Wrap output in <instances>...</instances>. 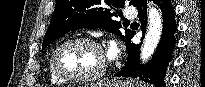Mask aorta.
Listing matches in <instances>:
<instances>
[{
  "label": "aorta",
  "mask_w": 205,
  "mask_h": 87,
  "mask_svg": "<svg viewBox=\"0 0 205 87\" xmlns=\"http://www.w3.org/2000/svg\"><path fill=\"white\" fill-rule=\"evenodd\" d=\"M149 28L145 35L144 45L141 51V61L147 62L156 50L162 34V16L159 10L149 8Z\"/></svg>",
  "instance_id": "aorta-1"
}]
</instances>
